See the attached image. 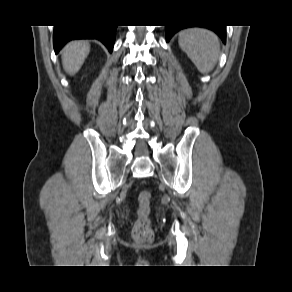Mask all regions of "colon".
Masks as SVG:
<instances>
[{
	"mask_svg": "<svg viewBox=\"0 0 292 292\" xmlns=\"http://www.w3.org/2000/svg\"><path fill=\"white\" fill-rule=\"evenodd\" d=\"M152 194L150 190L143 189L138 195L137 219L132 229V236L136 241H151L153 231L150 220V202Z\"/></svg>",
	"mask_w": 292,
	"mask_h": 292,
	"instance_id": "colon-1",
	"label": "colon"
}]
</instances>
